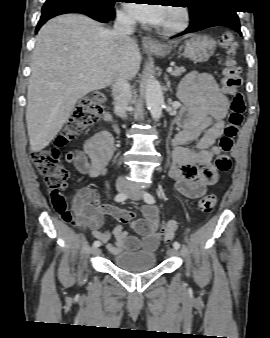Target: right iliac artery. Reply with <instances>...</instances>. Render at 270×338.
Masks as SVG:
<instances>
[{
    "instance_id": "right-iliac-artery-1",
    "label": "right iliac artery",
    "mask_w": 270,
    "mask_h": 338,
    "mask_svg": "<svg viewBox=\"0 0 270 338\" xmlns=\"http://www.w3.org/2000/svg\"><path fill=\"white\" fill-rule=\"evenodd\" d=\"M127 198H128L127 193H119L115 196V201L116 202H122V201L126 200ZM93 245L95 247H99L101 245V242L96 240V241H94Z\"/></svg>"
}]
</instances>
